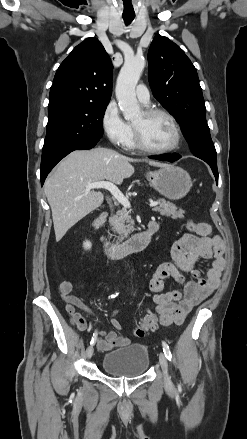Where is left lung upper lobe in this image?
<instances>
[{"mask_svg":"<svg viewBox=\"0 0 247 439\" xmlns=\"http://www.w3.org/2000/svg\"><path fill=\"white\" fill-rule=\"evenodd\" d=\"M148 62L154 97L179 123L192 153L217 170L216 150L194 65L178 45L161 35L151 43Z\"/></svg>","mask_w":247,"mask_h":439,"instance_id":"left-lung-upper-lobe-1","label":"left lung upper lobe"}]
</instances>
